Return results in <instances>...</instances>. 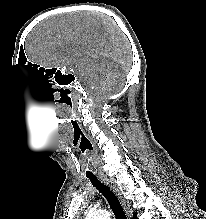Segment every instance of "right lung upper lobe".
Listing matches in <instances>:
<instances>
[{
	"label": "right lung upper lobe",
	"instance_id": "cb5924a9",
	"mask_svg": "<svg viewBox=\"0 0 206 219\" xmlns=\"http://www.w3.org/2000/svg\"><path fill=\"white\" fill-rule=\"evenodd\" d=\"M136 215H137V213H134L133 219H137Z\"/></svg>",
	"mask_w": 206,
	"mask_h": 219
}]
</instances>
